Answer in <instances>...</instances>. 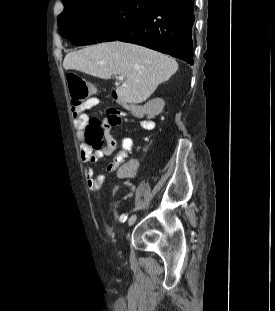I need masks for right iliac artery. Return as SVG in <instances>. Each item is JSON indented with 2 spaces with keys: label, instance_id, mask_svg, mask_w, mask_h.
<instances>
[{
  "label": "right iliac artery",
  "instance_id": "obj_1",
  "mask_svg": "<svg viewBox=\"0 0 275 311\" xmlns=\"http://www.w3.org/2000/svg\"><path fill=\"white\" fill-rule=\"evenodd\" d=\"M126 219H127V215H126V214H123V215L120 216V219H119V220H120L121 222H125Z\"/></svg>",
  "mask_w": 275,
  "mask_h": 311
}]
</instances>
